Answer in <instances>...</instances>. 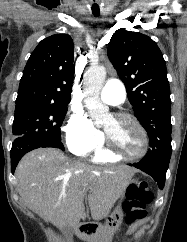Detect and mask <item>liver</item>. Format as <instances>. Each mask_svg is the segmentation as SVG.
Wrapping results in <instances>:
<instances>
[{
    "instance_id": "liver-1",
    "label": "liver",
    "mask_w": 187,
    "mask_h": 242,
    "mask_svg": "<svg viewBox=\"0 0 187 242\" xmlns=\"http://www.w3.org/2000/svg\"><path fill=\"white\" fill-rule=\"evenodd\" d=\"M136 170L128 166L94 168L53 148L26 154L16 168L22 202L53 225H79L85 216L84 193L93 220L108 216Z\"/></svg>"
}]
</instances>
